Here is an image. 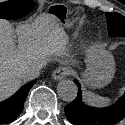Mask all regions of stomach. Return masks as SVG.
Wrapping results in <instances>:
<instances>
[{
  "mask_svg": "<svg viewBox=\"0 0 125 125\" xmlns=\"http://www.w3.org/2000/svg\"><path fill=\"white\" fill-rule=\"evenodd\" d=\"M47 14L55 17L61 26L67 28H74L83 22V15L80 11L74 13L65 6H50ZM86 62L87 70L82 76V81L86 86L102 88L112 80L115 73V61L104 45L92 46L87 52Z\"/></svg>",
  "mask_w": 125,
  "mask_h": 125,
  "instance_id": "1",
  "label": "stomach"
}]
</instances>
